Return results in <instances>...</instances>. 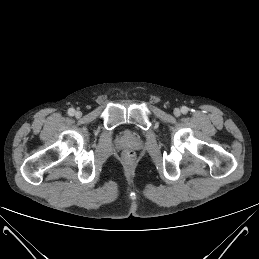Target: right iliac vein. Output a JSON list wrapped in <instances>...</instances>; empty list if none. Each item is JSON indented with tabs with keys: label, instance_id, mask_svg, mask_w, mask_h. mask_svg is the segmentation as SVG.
I'll use <instances>...</instances> for the list:
<instances>
[{
	"label": "right iliac vein",
	"instance_id": "1",
	"mask_svg": "<svg viewBox=\"0 0 259 259\" xmlns=\"http://www.w3.org/2000/svg\"><path fill=\"white\" fill-rule=\"evenodd\" d=\"M75 116H76L77 118H80V117L82 116L81 111H77V112L75 113Z\"/></svg>",
	"mask_w": 259,
	"mask_h": 259
}]
</instances>
